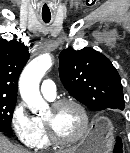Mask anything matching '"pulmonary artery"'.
Returning a JSON list of instances; mask_svg holds the SVG:
<instances>
[{"mask_svg": "<svg viewBox=\"0 0 130 153\" xmlns=\"http://www.w3.org/2000/svg\"><path fill=\"white\" fill-rule=\"evenodd\" d=\"M41 93L48 99L52 100L56 96V85L53 80L45 79L41 84Z\"/></svg>", "mask_w": 130, "mask_h": 153, "instance_id": "pulmonary-artery-1", "label": "pulmonary artery"}]
</instances>
